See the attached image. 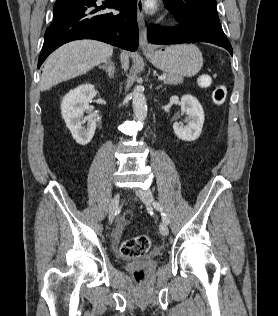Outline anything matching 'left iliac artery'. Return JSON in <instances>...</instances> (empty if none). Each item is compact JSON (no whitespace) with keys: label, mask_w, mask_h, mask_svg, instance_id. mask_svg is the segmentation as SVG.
Instances as JSON below:
<instances>
[{"label":"left iliac artery","mask_w":278,"mask_h":316,"mask_svg":"<svg viewBox=\"0 0 278 316\" xmlns=\"http://www.w3.org/2000/svg\"><path fill=\"white\" fill-rule=\"evenodd\" d=\"M153 206H154L155 209H157L159 212H161L163 223L168 224L169 223V219H168L166 213L163 211V207L161 206V204L158 203V202H154Z\"/></svg>","instance_id":"44dca946"}]
</instances>
